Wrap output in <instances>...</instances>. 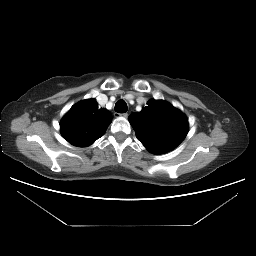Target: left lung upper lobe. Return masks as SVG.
<instances>
[{"instance_id":"left-lung-upper-lobe-1","label":"left lung upper lobe","mask_w":256,"mask_h":256,"mask_svg":"<svg viewBox=\"0 0 256 256\" xmlns=\"http://www.w3.org/2000/svg\"><path fill=\"white\" fill-rule=\"evenodd\" d=\"M128 119L137 139L154 154L173 150L188 133L186 116L163 100L148 101V106Z\"/></svg>"}]
</instances>
